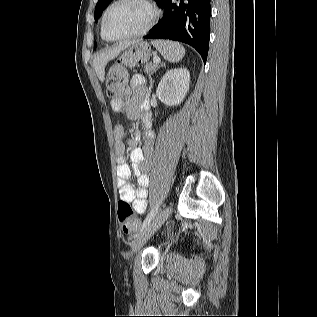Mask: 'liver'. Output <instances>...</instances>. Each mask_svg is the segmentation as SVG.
<instances>
[{"mask_svg":"<svg viewBox=\"0 0 317 317\" xmlns=\"http://www.w3.org/2000/svg\"><path fill=\"white\" fill-rule=\"evenodd\" d=\"M132 42H126V43H121L113 48L106 49L104 51H101L97 56H95L93 60V65L95 72L97 74V77L101 82L104 81L105 79V67L107 63L117 57L119 53L129 47Z\"/></svg>","mask_w":317,"mask_h":317,"instance_id":"1","label":"liver"}]
</instances>
